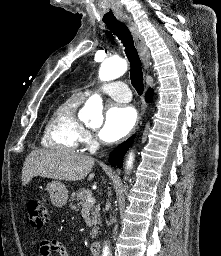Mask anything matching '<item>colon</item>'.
I'll return each instance as SVG.
<instances>
[{"label": "colon", "instance_id": "obj_1", "mask_svg": "<svg viewBox=\"0 0 221 256\" xmlns=\"http://www.w3.org/2000/svg\"><path fill=\"white\" fill-rule=\"evenodd\" d=\"M27 214L31 226L36 230H41L49 219L48 208L38 198L27 201Z\"/></svg>", "mask_w": 221, "mask_h": 256}]
</instances>
